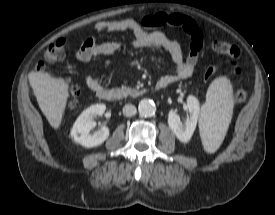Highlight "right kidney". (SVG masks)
Masks as SVG:
<instances>
[{
	"instance_id": "right-kidney-1",
	"label": "right kidney",
	"mask_w": 275,
	"mask_h": 215,
	"mask_svg": "<svg viewBox=\"0 0 275 215\" xmlns=\"http://www.w3.org/2000/svg\"><path fill=\"white\" fill-rule=\"evenodd\" d=\"M106 106L104 104L92 105L84 110L75 121L71 129L72 139L87 148L101 145L109 136V129L103 126L100 130L91 134V130L96 126L94 118L103 115Z\"/></svg>"
}]
</instances>
